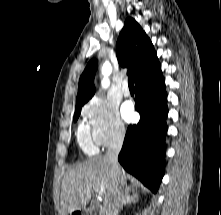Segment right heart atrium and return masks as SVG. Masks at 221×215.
<instances>
[{"label": "right heart atrium", "instance_id": "obj_1", "mask_svg": "<svg viewBox=\"0 0 221 215\" xmlns=\"http://www.w3.org/2000/svg\"><path fill=\"white\" fill-rule=\"evenodd\" d=\"M83 116L97 145L107 147L124 138L126 129L113 103L94 97L84 106Z\"/></svg>", "mask_w": 221, "mask_h": 215}]
</instances>
